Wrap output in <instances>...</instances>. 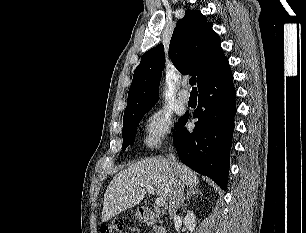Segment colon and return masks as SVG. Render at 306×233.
I'll return each instance as SVG.
<instances>
[{
	"mask_svg": "<svg viewBox=\"0 0 306 233\" xmlns=\"http://www.w3.org/2000/svg\"><path fill=\"white\" fill-rule=\"evenodd\" d=\"M124 222L115 220L109 224H104L100 228V233H122Z\"/></svg>",
	"mask_w": 306,
	"mask_h": 233,
	"instance_id": "1",
	"label": "colon"
}]
</instances>
